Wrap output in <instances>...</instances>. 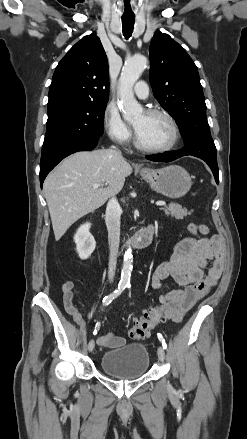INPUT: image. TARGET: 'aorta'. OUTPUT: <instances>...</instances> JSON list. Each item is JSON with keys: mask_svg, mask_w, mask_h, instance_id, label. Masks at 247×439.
I'll return each mask as SVG.
<instances>
[{"mask_svg": "<svg viewBox=\"0 0 247 439\" xmlns=\"http://www.w3.org/2000/svg\"><path fill=\"white\" fill-rule=\"evenodd\" d=\"M147 65V58L144 56H133L128 58L122 68L119 78L118 96L120 98L119 107L126 121H132L142 114V107L134 97L133 86L139 79ZM133 255L131 248L127 249L124 254L123 266L121 270L122 284L130 282L131 272L133 269Z\"/></svg>", "mask_w": 247, "mask_h": 439, "instance_id": "aorta-1", "label": "aorta"}]
</instances>
